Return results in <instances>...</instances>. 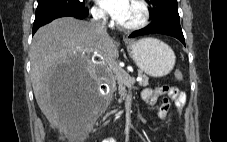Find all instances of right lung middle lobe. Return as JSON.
<instances>
[{"mask_svg":"<svg viewBox=\"0 0 227 142\" xmlns=\"http://www.w3.org/2000/svg\"><path fill=\"white\" fill-rule=\"evenodd\" d=\"M38 6L36 14L58 10V9H77L84 8L83 0H37Z\"/></svg>","mask_w":227,"mask_h":142,"instance_id":"right-lung-middle-lobe-1","label":"right lung middle lobe"}]
</instances>
